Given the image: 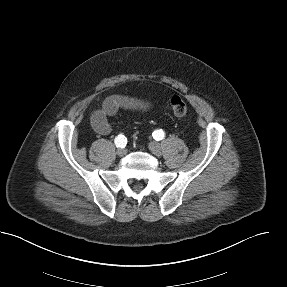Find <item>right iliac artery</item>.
<instances>
[{
  "label": "right iliac artery",
  "mask_w": 287,
  "mask_h": 287,
  "mask_svg": "<svg viewBox=\"0 0 287 287\" xmlns=\"http://www.w3.org/2000/svg\"><path fill=\"white\" fill-rule=\"evenodd\" d=\"M115 144L117 147L119 148H124L127 144V139L124 135H118L115 140H114Z\"/></svg>",
  "instance_id": "82829eb1"
}]
</instances>
